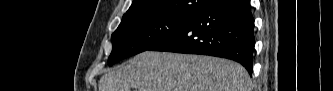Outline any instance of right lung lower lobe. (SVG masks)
<instances>
[{"instance_id": "obj_1", "label": "right lung lower lobe", "mask_w": 333, "mask_h": 91, "mask_svg": "<svg viewBox=\"0 0 333 91\" xmlns=\"http://www.w3.org/2000/svg\"><path fill=\"white\" fill-rule=\"evenodd\" d=\"M254 19L248 0H215L150 51L228 58L252 73Z\"/></svg>"}]
</instances>
